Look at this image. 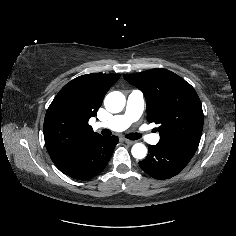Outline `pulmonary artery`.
<instances>
[{
    "instance_id": "pulmonary-artery-1",
    "label": "pulmonary artery",
    "mask_w": 236,
    "mask_h": 236,
    "mask_svg": "<svg viewBox=\"0 0 236 236\" xmlns=\"http://www.w3.org/2000/svg\"><path fill=\"white\" fill-rule=\"evenodd\" d=\"M144 109V96L140 90H133L128 98L125 111L122 114L113 116L107 121L97 123L98 127H104L112 131H124L132 123L136 122ZM144 141L150 144L159 142V134H142Z\"/></svg>"
}]
</instances>
